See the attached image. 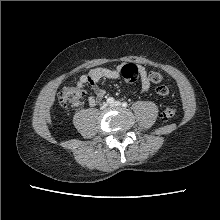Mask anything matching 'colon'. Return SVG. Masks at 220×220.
Masks as SVG:
<instances>
[{
  "instance_id": "colon-1",
  "label": "colon",
  "mask_w": 220,
  "mask_h": 220,
  "mask_svg": "<svg viewBox=\"0 0 220 220\" xmlns=\"http://www.w3.org/2000/svg\"><path fill=\"white\" fill-rule=\"evenodd\" d=\"M142 74H145L147 79L157 84V93L159 95L165 96L168 95L169 89L168 87L163 84L164 77L162 73L158 70H141L139 67L133 64H126L121 69V76L127 83H133L135 82ZM82 96V90L79 87L76 86H68L64 88L60 95L59 99L61 102V105L65 108L72 106L75 104L80 97ZM177 112L176 107L174 106H167L162 111V118L164 120L172 119Z\"/></svg>"
}]
</instances>
